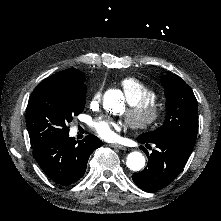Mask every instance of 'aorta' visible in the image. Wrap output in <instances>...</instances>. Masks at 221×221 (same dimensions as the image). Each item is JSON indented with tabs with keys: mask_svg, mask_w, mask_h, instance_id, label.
Masks as SVG:
<instances>
[{
	"mask_svg": "<svg viewBox=\"0 0 221 221\" xmlns=\"http://www.w3.org/2000/svg\"><path fill=\"white\" fill-rule=\"evenodd\" d=\"M127 167L132 171H140L145 166V157L141 152L134 151L127 155Z\"/></svg>",
	"mask_w": 221,
	"mask_h": 221,
	"instance_id": "obj_1",
	"label": "aorta"
}]
</instances>
